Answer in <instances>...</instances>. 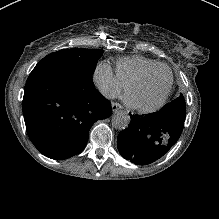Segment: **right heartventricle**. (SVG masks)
Wrapping results in <instances>:
<instances>
[{
    "mask_svg": "<svg viewBox=\"0 0 219 219\" xmlns=\"http://www.w3.org/2000/svg\"><path fill=\"white\" fill-rule=\"evenodd\" d=\"M160 65L159 61L141 54L122 57L116 62V77L123 86H129L139 75Z\"/></svg>",
    "mask_w": 219,
    "mask_h": 219,
    "instance_id": "1",
    "label": "right heart ventricle"
}]
</instances>
